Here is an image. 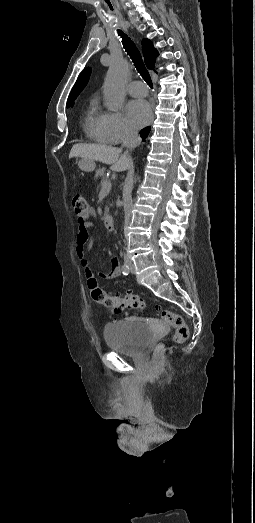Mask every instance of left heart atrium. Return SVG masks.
I'll return each mask as SVG.
<instances>
[{
    "label": "left heart atrium",
    "instance_id": "1",
    "mask_svg": "<svg viewBox=\"0 0 255 523\" xmlns=\"http://www.w3.org/2000/svg\"><path fill=\"white\" fill-rule=\"evenodd\" d=\"M129 121L135 126L145 124L150 118V106L146 100L135 99L127 107Z\"/></svg>",
    "mask_w": 255,
    "mask_h": 523
}]
</instances>
